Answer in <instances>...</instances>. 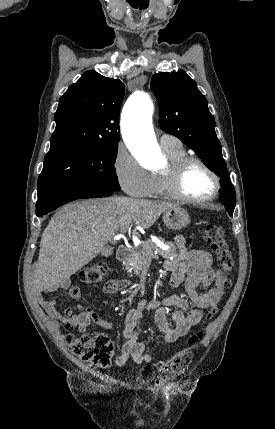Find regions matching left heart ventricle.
Returning a JSON list of instances; mask_svg holds the SVG:
<instances>
[{
    "label": "left heart ventricle",
    "instance_id": "b2bd125f",
    "mask_svg": "<svg viewBox=\"0 0 275 429\" xmlns=\"http://www.w3.org/2000/svg\"><path fill=\"white\" fill-rule=\"evenodd\" d=\"M182 191L194 199H205L214 190V182L207 171L199 164L190 165L181 181Z\"/></svg>",
    "mask_w": 275,
    "mask_h": 429
}]
</instances>
